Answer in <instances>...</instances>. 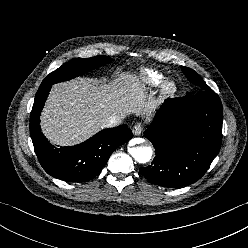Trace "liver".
<instances>
[{"label":"liver","instance_id":"1","mask_svg":"<svg viewBox=\"0 0 248 248\" xmlns=\"http://www.w3.org/2000/svg\"><path fill=\"white\" fill-rule=\"evenodd\" d=\"M158 106L135 75L101 84L78 78L53 85L40 124L51 143L70 146L104 128L109 116L136 114L150 120Z\"/></svg>","mask_w":248,"mask_h":248}]
</instances>
